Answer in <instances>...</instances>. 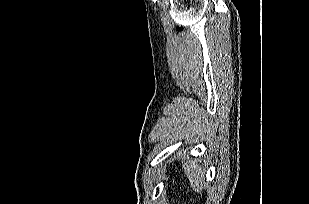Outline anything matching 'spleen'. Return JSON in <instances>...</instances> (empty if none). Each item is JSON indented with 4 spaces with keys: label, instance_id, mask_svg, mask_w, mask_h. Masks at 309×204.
Instances as JSON below:
<instances>
[{
    "label": "spleen",
    "instance_id": "3e777b00",
    "mask_svg": "<svg viewBox=\"0 0 309 204\" xmlns=\"http://www.w3.org/2000/svg\"><path fill=\"white\" fill-rule=\"evenodd\" d=\"M182 166L193 190L199 192L206 187L205 169L198 161H187Z\"/></svg>",
    "mask_w": 309,
    "mask_h": 204
}]
</instances>
